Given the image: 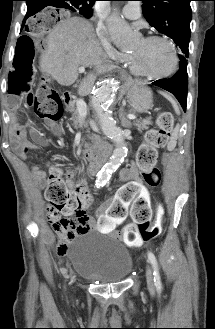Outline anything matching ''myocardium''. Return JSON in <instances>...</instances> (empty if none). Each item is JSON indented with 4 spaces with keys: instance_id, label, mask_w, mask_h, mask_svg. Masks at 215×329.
Listing matches in <instances>:
<instances>
[{
    "instance_id": "f54148a6",
    "label": "myocardium",
    "mask_w": 215,
    "mask_h": 329,
    "mask_svg": "<svg viewBox=\"0 0 215 329\" xmlns=\"http://www.w3.org/2000/svg\"><path fill=\"white\" fill-rule=\"evenodd\" d=\"M143 40L146 42L162 40V41H165L166 43H168L173 51L174 65H173L172 69L169 70L168 72L160 73V74H152V73H148V72L144 71L139 66L137 57L133 54H130V64H131V67H132L134 73L141 75L143 77H146L149 79H155V80L165 79V78H168V77L172 76L173 74H175L179 67V52H178L175 42L171 38H169L165 35H160V34H152V35L145 36V37H143Z\"/></svg>"
}]
</instances>
